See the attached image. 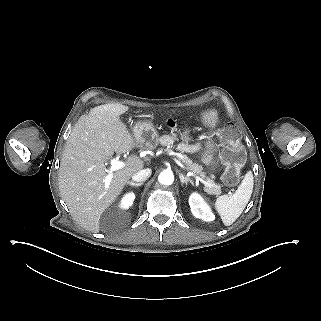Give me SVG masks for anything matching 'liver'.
<instances>
[{
  "mask_svg": "<svg viewBox=\"0 0 321 321\" xmlns=\"http://www.w3.org/2000/svg\"><path fill=\"white\" fill-rule=\"evenodd\" d=\"M130 107L106 103L83 114L66 142L59 170V190L74 220L84 229L100 232V218L122 193L124 185L145 166L136 154L130 155L116 171L107 194L105 162L114 152L123 154L137 146L126 122L121 118Z\"/></svg>",
  "mask_w": 321,
  "mask_h": 321,
  "instance_id": "liver-1",
  "label": "liver"
}]
</instances>
